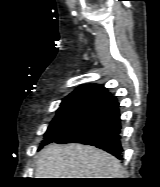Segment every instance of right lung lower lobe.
<instances>
[{
  "instance_id": "98d812e1",
  "label": "right lung lower lobe",
  "mask_w": 160,
  "mask_h": 187,
  "mask_svg": "<svg viewBox=\"0 0 160 187\" xmlns=\"http://www.w3.org/2000/svg\"><path fill=\"white\" fill-rule=\"evenodd\" d=\"M119 103L111 96L99 105L94 112L77 128L56 140V143H83L107 151L122 159L123 149L120 136Z\"/></svg>"
}]
</instances>
